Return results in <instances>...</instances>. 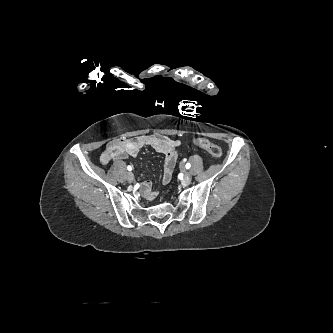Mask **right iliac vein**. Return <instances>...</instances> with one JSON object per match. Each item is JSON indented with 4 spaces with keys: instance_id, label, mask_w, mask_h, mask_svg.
I'll return each instance as SVG.
<instances>
[{
    "instance_id": "right-iliac-vein-1",
    "label": "right iliac vein",
    "mask_w": 333,
    "mask_h": 333,
    "mask_svg": "<svg viewBox=\"0 0 333 333\" xmlns=\"http://www.w3.org/2000/svg\"><path fill=\"white\" fill-rule=\"evenodd\" d=\"M127 180L129 182H133L134 181V175H133L132 172H128V174H127Z\"/></svg>"
}]
</instances>
